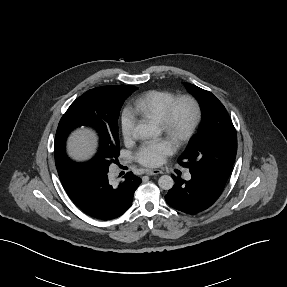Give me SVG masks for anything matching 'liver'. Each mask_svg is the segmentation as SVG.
<instances>
[{"mask_svg": "<svg viewBox=\"0 0 287 287\" xmlns=\"http://www.w3.org/2000/svg\"><path fill=\"white\" fill-rule=\"evenodd\" d=\"M95 147V138L91 133L79 131L71 136L68 143V150L75 159H84L90 155Z\"/></svg>", "mask_w": 287, "mask_h": 287, "instance_id": "1", "label": "liver"}]
</instances>
